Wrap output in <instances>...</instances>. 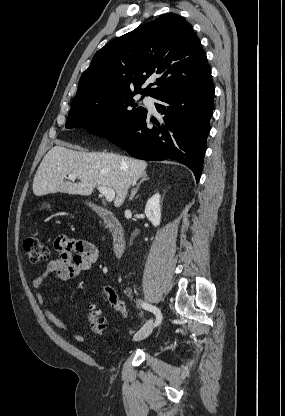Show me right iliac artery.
Wrapping results in <instances>:
<instances>
[{
	"label": "right iliac artery",
	"instance_id": "right-iliac-artery-1",
	"mask_svg": "<svg viewBox=\"0 0 285 416\" xmlns=\"http://www.w3.org/2000/svg\"><path fill=\"white\" fill-rule=\"evenodd\" d=\"M139 304L145 310H148L150 312H153L156 315L155 326H158L161 323V321H162V314H161V311L159 310V308H157L154 305L148 304V303H146V302H144L142 300H139Z\"/></svg>",
	"mask_w": 285,
	"mask_h": 416
}]
</instances>
